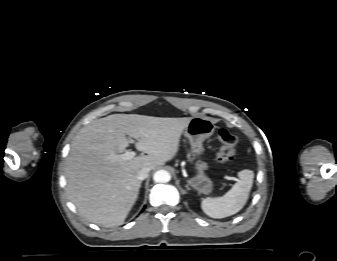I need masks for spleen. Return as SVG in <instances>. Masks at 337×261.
<instances>
[{"label": "spleen", "instance_id": "obj_1", "mask_svg": "<svg viewBox=\"0 0 337 261\" xmlns=\"http://www.w3.org/2000/svg\"><path fill=\"white\" fill-rule=\"evenodd\" d=\"M239 180L222 197L205 198L201 202L202 210L212 218H224L239 212L246 204L253 184L254 172H238Z\"/></svg>", "mask_w": 337, "mask_h": 261}]
</instances>
